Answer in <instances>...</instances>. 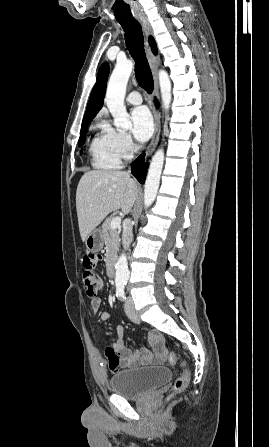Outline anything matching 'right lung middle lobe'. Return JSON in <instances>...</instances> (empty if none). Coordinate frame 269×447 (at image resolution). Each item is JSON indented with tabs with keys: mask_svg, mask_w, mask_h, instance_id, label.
I'll return each instance as SVG.
<instances>
[{
	"mask_svg": "<svg viewBox=\"0 0 269 447\" xmlns=\"http://www.w3.org/2000/svg\"><path fill=\"white\" fill-rule=\"evenodd\" d=\"M90 123L82 125L81 127V133H80V138H79V142L78 145L82 146L85 143V136H86V131H87V127Z\"/></svg>",
	"mask_w": 269,
	"mask_h": 447,
	"instance_id": "1",
	"label": "right lung middle lobe"
}]
</instances>
